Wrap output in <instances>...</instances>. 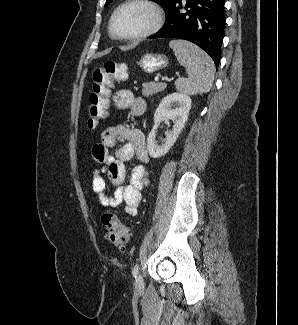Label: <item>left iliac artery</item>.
<instances>
[{
    "instance_id": "1",
    "label": "left iliac artery",
    "mask_w": 298,
    "mask_h": 325,
    "mask_svg": "<svg viewBox=\"0 0 298 325\" xmlns=\"http://www.w3.org/2000/svg\"><path fill=\"white\" fill-rule=\"evenodd\" d=\"M138 271H139V265L136 263L133 267V270H132V274L133 276L136 278L137 275H138Z\"/></svg>"
}]
</instances>
